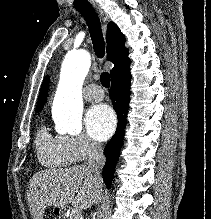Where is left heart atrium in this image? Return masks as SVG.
I'll return each instance as SVG.
<instances>
[{
	"label": "left heart atrium",
	"instance_id": "1",
	"mask_svg": "<svg viewBox=\"0 0 211 219\" xmlns=\"http://www.w3.org/2000/svg\"><path fill=\"white\" fill-rule=\"evenodd\" d=\"M85 124L90 136L103 141L111 136L116 127V116L113 110L105 105H97L89 110Z\"/></svg>",
	"mask_w": 211,
	"mask_h": 219
}]
</instances>
